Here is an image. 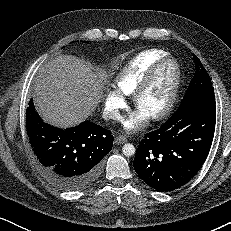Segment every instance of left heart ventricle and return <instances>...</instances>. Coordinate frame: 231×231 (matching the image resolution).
Instances as JSON below:
<instances>
[{
  "label": "left heart ventricle",
  "instance_id": "obj_1",
  "mask_svg": "<svg viewBox=\"0 0 231 231\" xmlns=\"http://www.w3.org/2000/svg\"><path fill=\"white\" fill-rule=\"evenodd\" d=\"M174 67L166 63L158 71L152 85L142 96L139 110L151 117L158 113L166 103L173 80Z\"/></svg>",
  "mask_w": 231,
  "mask_h": 231
}]
</instances>
